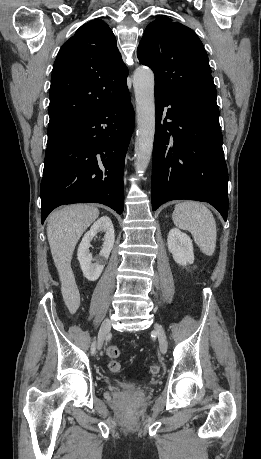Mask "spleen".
Returning a JSON list of instances; mask_svg holds the SVG:
<instances>
[{
	"instance_id": "3e777b00",
	"label": "spleen",
	"mask_w": 261,
	"mask_h": 459,
	"mask_svg": "<svg viewBox=\"0 0 261 459\" xmlns=\"http://www.w3.org/2000/svg\"><path fill=\"white\" fill-rule=\"evenodd\" d=\"M174 224L191 232L195 243L207 256L216 248V222L212 212L202 203L185 201L175 205L172 215Z\"/></svg>"
}]
</instances>
